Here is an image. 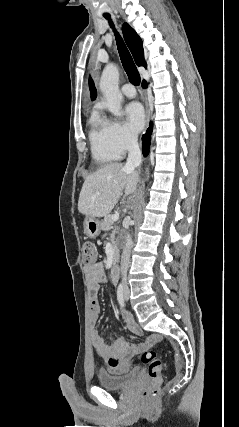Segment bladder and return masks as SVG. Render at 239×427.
Masks as SVG:
<instances>
[{
    "label": "bladder",
    "mask_w": 239,
    "mask_h": 427,
    "mask_svg": "<svg viewBox=\"0 0 239 427\" xmlns=\"http://www.w3.org/2000/svg\"><path fill=\"white\" fill-rule=\"evenodd\" d=\"M139 368H132L126 374L116 375L100 371L97 375L99 385L107 390H122L129 387L139 376Z\"/></svg>",
    "instance_id": "bladder-1"
}]
</instances>
